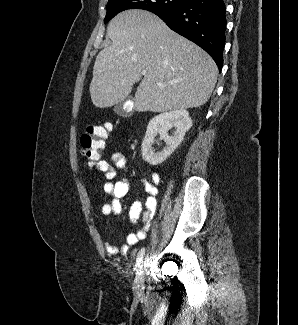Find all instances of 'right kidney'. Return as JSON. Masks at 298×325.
Here are the masks:
<instances>
[{
	"label": "right kidney",
	"instance_id": "obj_1",
	"mask_svg": "<svg viewBox=\"0 0 298 325\" xmlns=\"http://www.w3.org/2000/svg\"><path fill=\"white\" fill-rule=\"evenodd\" d=\"M175 126L171 136L168 130ZM192 126V118L185 108L180 110H170V112H161L156 114L148 122L146 134L141 144L142 158L146 160L149 165H160L167 156L174 152L176 146L180 144L185 136L187 130ZM159 134L165 142L164 148L160 152H155L153 148L155 136Z\"/></svg>",
	"mask_w": 298,
	"mask_h": 325
}]
</instances>
